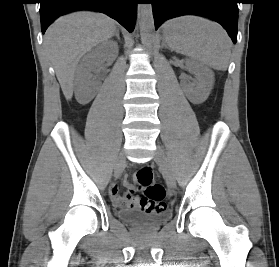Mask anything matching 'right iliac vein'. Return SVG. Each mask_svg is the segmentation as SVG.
Returning <instances> with one entry per match:
<instances>
[{
  "label": "right iliac vein",
  "mask_w": 279,
  "mask_h": 267,
  "mask_svg": "<svg viewBox=\"0 0 279 267\" xmlns=\"http://www.w3.org/2000/svg\"><path fill=\"white\" fill-rule=\"evenodd\" d=\"M125 163H126L125 154L120 153L115 164V171H114L115 177H118L122 173L125 167Z\"/></svg>",
  "instance_id": "63e3f726"
}]
</instances>
